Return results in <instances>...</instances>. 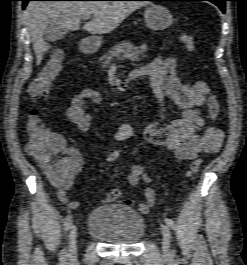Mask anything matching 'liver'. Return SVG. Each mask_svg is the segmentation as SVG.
I'll list each match as a JSON object with an SVG mask.
<instances>
[{
  "label": "liver",
  "instance_id": "obj_1",
  "mask_svg": "<svg viewBox=\"0 0 247 265\" xmlns=\"http://www.w3.org/2000/svg\"><path fill=\"white\" fill-rule=\"evenodd\" d=\"M144 5L147 3L142 1H30L24 18L37 64L41 62L44 52L51 48L43 39L48 25H60L75 31L80 28L83 16H92L83 29L91 34H107Z\"/></svg>",
  "mask_w": 247,
  "mask_h": 265
}]
</instances>
